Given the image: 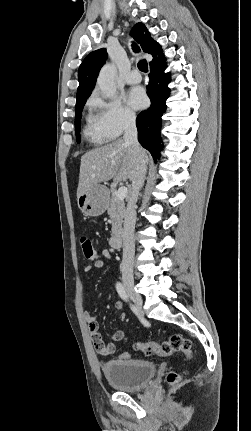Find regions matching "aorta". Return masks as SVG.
Instances as JSON below:
<instances>
[{"label": "aorta", "mask_w": 251, "mask_h": 431, "mask_svg": "<svg viewBox=\"0 0 251 431\" xmlns=\"http://www.w3.org/2000/svg\"><path fill=\"white\" fill-rule=\"evenodd\" d=\"M117 68L112 63H106L100 70L97 85L106 98H112L116 94L115 77Z\"/></svg>", "instance_id": "762f6f07"}]
</instances>
